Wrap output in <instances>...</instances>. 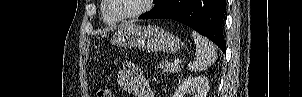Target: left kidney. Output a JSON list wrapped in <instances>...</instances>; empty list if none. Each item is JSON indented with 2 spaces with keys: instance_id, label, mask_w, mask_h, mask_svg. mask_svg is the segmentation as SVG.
<instances>
[{
  "instance_id": "obj_1",
  "label": "left kidney",
  "mask_w": 302,
  "mask_h": 97,
  "mask_svg": "<svg viewBox=\"0 0 302 97\" xmlns=\"http://www.w3.org/2000/svg\"><path fill=\"white\" fill-rule=\"evenodd\" d=\"M208 89L209 79L207 77H189L178 86L174 97H206Z\"/></svg>"
}]
</instances>
